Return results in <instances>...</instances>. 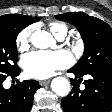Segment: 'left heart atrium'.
<instances>
[{"label":"left heart atrium","instance_id":"1","mask_svg":"<svg viewBox=\"0 0 112 112\" xmlns=\"http://www.w3.org/2000/svg\"><path fill=\"white\" fill-rule=\"evenodd\" d=\"M72 61V56L66 50L33 51L22 57L21 65L28 77L45 79L70 66Z\"/></svg>","mask_w":112,"mask_h":112}]
</instances>
